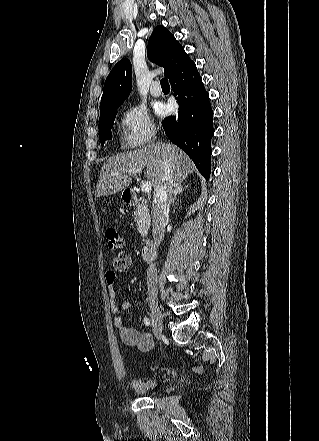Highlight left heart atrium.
<instances>
[{"instance_id": "39dd6f15", "label": "left heart atrium", "mask_w": 319, "mask_h": 441, "mask_svg": "<svg viewBox=\"0 0 319 441\" xmlns=\"http://www.w3.org/2000/svg\"><path fill=\"white\" fill-rule=\"evenodd\" d=\"M168 110H169V109H168L167 106H165V105H161V106H160V113H161V114L166 113Z\"/></svg>"}]
</instances>
